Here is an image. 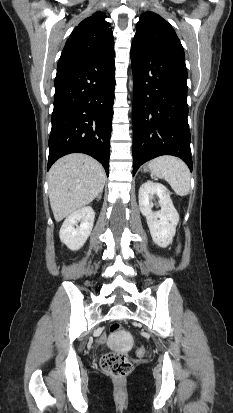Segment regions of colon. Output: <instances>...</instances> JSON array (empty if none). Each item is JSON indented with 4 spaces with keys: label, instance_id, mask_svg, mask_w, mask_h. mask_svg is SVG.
Returning <instances> with one entry per match:
<instances>
[{
    "label": "colon",
    "instance_id": "5ec220e1",
    "mask_svg": "<svg viewBox=\"0 0 233 413\" xmlns=\"http://www.w3.org/2000/svg\"><path fill=\"white\" fill-rule=\"evenodd\" d=\"M121 329L119 324H113L110 327L112 333H116ZM138 354L145 356L147 350L144 347H139ZM101 368L103 371L114 378H123L129 374L132 369V364L128 357L116 353H106L101 358Z\"/></svg>",
    "mask_w": 233,
    "mask_h": 413
}]
</instances>
